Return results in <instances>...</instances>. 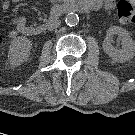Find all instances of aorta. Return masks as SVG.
Returning <instances> with one entry per match:
<instances>
[{
    "label": "aorta",
    "mask_w": 135,
    "mask_h": 135,
    "mask_svg": "<svg viewBox=\"0 0 135 135\" xmlns=\"http://www.w3.org/2000/svg\"><path fill=\"white\" fill-rule=\"evenodd\" d=\"M65 22L68 26H75L79 23V16L76 13H68L65 18Z\"/></svg>",
    "instance_id": "762f6f07"
}]
</instances>
